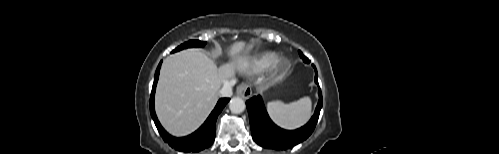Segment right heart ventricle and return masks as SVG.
<instances>
[{"label": "right heart ventricle", "instance_id": "obj_1", "mask_svg": "<svg viewBox=\"0 0 499 154\" xmlns=\"http://www.w3.org/2000/svg\"><path fill=\"white\" fill-rule=\"evenodd\" d=\"M273 52H262L243 61L244 66L251 73H261L269 69L275 61Z\"/></svg>", "mask_w": 499, "mask_h": 154}]
</instances>
